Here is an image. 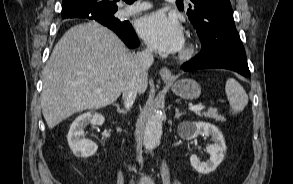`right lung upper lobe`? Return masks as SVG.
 Segmentation results:
<instances>
[{"instance_id":"cb5924a9","label":"right lung upper lobe","mask_w":293,"mask_h":184,"mask_svg":"<svg viewBox=\"0 0 293 184\" xmlns=\"http://www.w3.org/2000/svg\"><path fill=\"white\" fill-rule=\"evenodd\" d=\"M82 0H63L62 3V18H74L79 15L85 14L92 10H86L79 6V3ZM104 4L100 10L105 12H113L117 9L116 1L118 0H97ZM95 10V9H93Z\"/></svg>"}]
</instances>
